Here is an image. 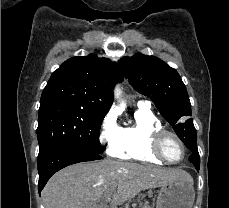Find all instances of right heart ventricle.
Returning a JSON list of instances; mask_svg holds the SVG:
<instances>
[{
	"label": "right heart ventricle",
	"mask_w": 229,
	"mask_h": 208,
	"mask_svg": "<svg viewBox=\"0 0 229 208\" xmlns=\"http://www.w3.org/2000/svg\"><path fill=\"white\" fill-rule=\"evenodd\" d=\"M163 124L152 113L149 107L138 104L134 112V121L131 125L120 128V138L112 154L122 160L137 161L164 165L163 158H156V153H150L155 143V133L163 129Z\"/></svg>",
	"instance_id": "right-heart-ventricle-1"
}]
</instances>
